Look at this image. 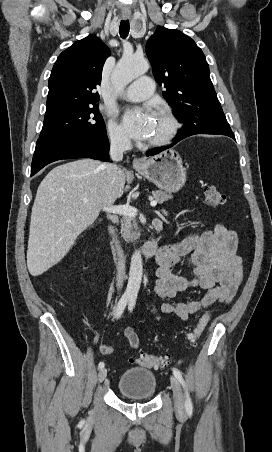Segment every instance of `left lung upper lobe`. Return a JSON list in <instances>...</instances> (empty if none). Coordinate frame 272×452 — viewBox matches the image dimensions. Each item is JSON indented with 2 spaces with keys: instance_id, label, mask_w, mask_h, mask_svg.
Here are the masks:
<instances>
[{
  "instance_id": "1",
  "label": "left lung upper lobe",
  "mask_w": 272,
  "mask_h": 452,
  "mask_svg": "<svg viewBox=\"0 0 272 452\" xmlns=\"http://www.w3.org/2000/svg\"><path fill=\"white\" fill-rule=\"evenodd\" d=\"M154 76L166 90L183 129L209 134L231 131L210 79L209 66L194 40L178 30L157 27L146 44Z\"/></svg>"
}]
</instances>
